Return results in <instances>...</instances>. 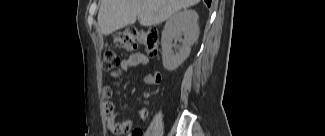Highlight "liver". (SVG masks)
I'll return each mask as SVG.
<instances>
[{
    "label": "liver",
    "instance_id": "liver-1",
    "mask_svg": "<svg viewBox=\"0 0 325 136\" xmlns=\"http://www.w3.org/2000/svg\"><path fill=\"white\" fill-rule=\"evenodd\" d=\"M200 0H101L98 25L105 36L135 23L155 26L182 8L197 4Z\"/></svg>",
    "mask_w": 325,
    "mask_h": 136
}]
</instances>
